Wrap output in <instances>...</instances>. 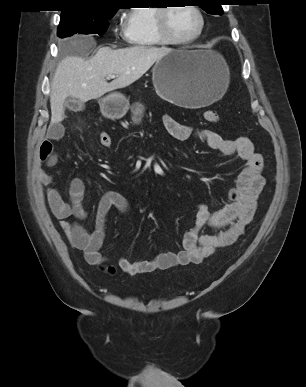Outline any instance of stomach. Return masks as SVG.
Returning <instances> with one entry per match:
<instances>
[{"instance_id":"obj_1","label":"stomach","mask_w":306,"mask_h":387,"mask_svg":"<svg viewBox=\"0 0 306 387\" xmlns=\"http://www.w3.org/2000/svg\"><path fill=\"white\" fill-rule=\"evenodd\" d=\"M156 92L165 100L185 108H201L226 92L230 74L222 56L209 50H171L156 61L152 70ZM101 113L109 119L123 117L129 102L118 92L99 99Z\"/></svg>"}]
</instances>
